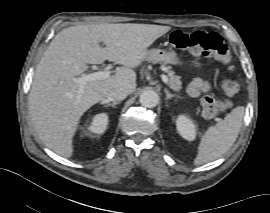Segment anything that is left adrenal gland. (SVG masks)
Wrapping results in <instances>:
<instances>
[{
	"label": "left adrenal gland",
	"mask_w": 270,
	"mask_h": 213,
	"mask_svg": "<svg viewBox=\"0 0 270 213\" xmlns=\"http://www.w3.org/2000/svg\"><path fill=\"white\" fill-rule=\"evenodd\" d=\"M164 92L166 94V100L171 99L173 97H176V95L175 94H171L168 89H165Z\"/></svg>",
	"instance_id": "a2214340"
}]
</instances>
